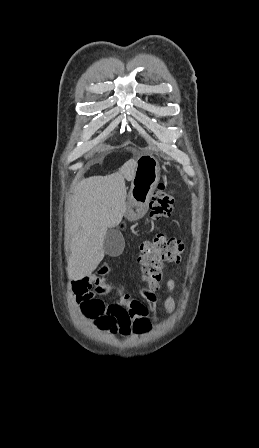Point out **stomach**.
<instances>
[{
    "label": "stomach",
    "instance_id": "stomach-1",
    "mask_svg": "<svg viewBox=\"0 0 259 448\" xmlns=\"http://www.w3.org/2000/svg\"><path fill=\"white\" fill-rule=\"evenodd\" d=\"M159 180L160 166L156 158L151 154L139 156L129 190V200L134 206L126 207V221H139L144 216Z\"/></svg>",
    "mask_w": 259,
    "mask_h": 448
}]
</instances>
